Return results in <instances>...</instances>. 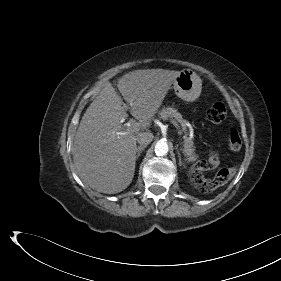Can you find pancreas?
<instances>
[{
    "instance_id": "obj_1",
    "label": "pancreas",
    "mask_w": 281,
    "mask_h": 281,
    "mask_svg": "<svg viewBox=\"0 0 281 281\" xmlns=\"http://www.w3.org/2000/svg\"><path fill=\"white\" fill-rule=\"evenodd\" d=\"M159 117L163 120L171 118L174 121L180 123L182 131L185 133V135L183 136V152L186 155L188 162H195L198 156L195 153L193 139L188 136L187 126L189 122L183 119L182 115L172 107H163L159 112ZM196 164H193V166H195Z\"/></svg>"
}]
</instances>
